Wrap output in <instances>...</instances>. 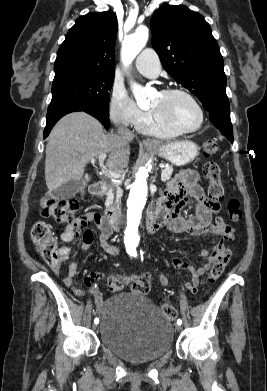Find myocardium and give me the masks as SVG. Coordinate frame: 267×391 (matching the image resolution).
Listing matches in <instances>:
<instances>
[{
	"mask_svg": "<svg viewBox=\"0 0 267 391\" xmlns=\"http://www.w3.org/2000/svg\"><path fill=\"white\" fill-rule=\"evenodd\" d=\"M160 94L163 97H169L171 95L178 94V95H183L186 98H188L195 105V107L197 108V110L199 112V123L196 127L191 128V129L181 128V127L175 125L174 123H172L171 121H169L168 119H166L156 109H152L151 112H152L153 117L157 123H159L160 125H162L164 127H167L168 129H171L179 134L194 133L196 131H199L203 127V125L205 123V112H204L202 105L200 104V102L197 100V98L193 94H191L189 91L182 89V88H167V89L162 90L160 92Z\"/></svg>",
	"mask_w": 267,
	"mask_h": 391,
	"instance_id": "1",
	"label": "myocardium"
}]
</instances>
